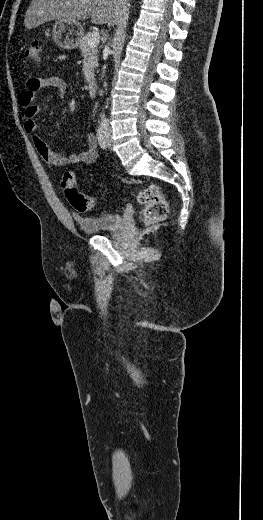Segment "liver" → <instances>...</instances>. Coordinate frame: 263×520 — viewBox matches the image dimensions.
I'll use <instances>...</instances> for the list:
<instances>
[{
	"label": "liver",
	"instance_id": "obj_1",
	"mask_svg": "<svg viewBox=\"0 0 263 520\" xmlns=\"http://www.w3.org/2000/svg\"><path fill=\"white\" fill-rule=\"evenodd\" d=\"M128 0H32L24 25L35 28L50 20L78 22L91 18L94 24H117L127 10Z\"/></svg>",
	"mask_w": 263,
	"mask_h": 520
}]
</instances>
